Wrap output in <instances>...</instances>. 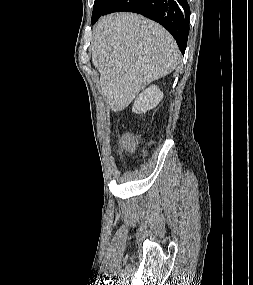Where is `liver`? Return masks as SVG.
Returning a JSON list of instances; mask_svg holds the SVG:
<instances>
[{
  "label": "liver",
  "instance_id": "6515ba94",
  "mask_svg": "<svg viewBox=\"0 0 253 285\" xmlns=\"http://www.w3.org/2000/svg\"><path fill=\"white\" fill-rule=\"evenodd\" d=\"M92 63L112 111H122L149 83L180 61L177 44L158 23L134 13L102 17L94 27Z\"/></svg>",
  "mask_w": 253,
  "mask_h": 285
}]
</instances>
